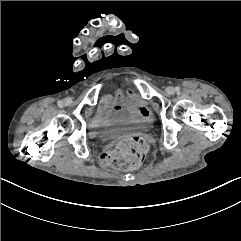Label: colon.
<instances>
[{"label": "colon", "instance_id": "5ec220e1", "mask_svg": "<svg viewBox=\"0 0 241 241\" xmlns=\"http://www.w3.org/2000/svg\"><path fill=\"white\" fill-rule=\"evenodd\" d=\"M150 150L147 140L131 136L120 140L113 148L100 154L99 162L105 167L131 169L139 167Z\"/></svg>", "mask_w": 241, "mask_h": 241}]
</instances>
